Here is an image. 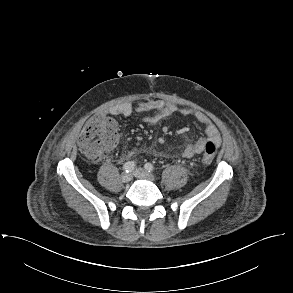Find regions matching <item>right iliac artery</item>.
Returning a JSON list of instances; mask_svg holds the SVG:
<instances>
[{"label":"right iliac artery","instance_id":"right-iliac-artery-1","mask_svg":"<svg viewBox=\"0 0 293 293\" xmlns=\"http://www.w3.org/2000/svg\"><path fill=\"white\" fill-rule=\"evenodd\" d=\"M135 166H136V164L134 161H128L123 165V170L126 173H130L134 170Z\"/></svg>","mask_w":293,"mask_h":293}]
</instances>
